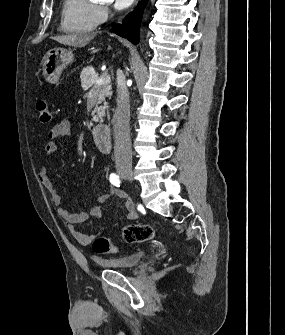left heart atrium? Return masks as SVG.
Listing matches in <instances>:
<instances>
[{
    "label": "left heart atrium",
    "mask_w": 285,
    "mask_h": 335,
    "mask_svg": "<svg viewBox=\"0 0 285 335\" xmlns=\"http://www.w3.org/2000/svg\"><path fill=\"white\" fill-rule=\"evenodd\" d=\"M133 1H114L115 7L119 10L127 8Z\"/></svg>",
    "instance_id": "obj_1"
}]
</instances>
